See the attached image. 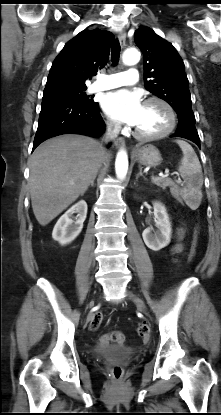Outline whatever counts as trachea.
Segmentation results:
<instances>
[{"label":"trachea","instance_id":"3493384b","mask_svg":"<svg viewBox=\"0 0 221 415\" xmlns=\"http://www.w3.org/2000/svg\"><path fill=\"white\" fill-rule=\"evenodd\" d=\"M120 44L119 41L116 40L111 47V58H112V63L113 65H117L118 61H119V57H120Z\"/></svg>","mask_w":221,"mask_h":415}]
</instances>
